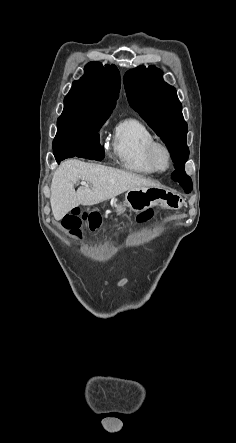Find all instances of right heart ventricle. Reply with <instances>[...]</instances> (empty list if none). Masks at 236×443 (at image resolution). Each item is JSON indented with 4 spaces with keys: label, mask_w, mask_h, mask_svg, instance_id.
Here are the masks:
<instances>
[{
    "label": "right heart ventricle",
    "mask_w": 236,
    "mask_h": 443,
    "mask_svg": "<svg viewBox=\"0 0 236 443\" xmlns=\"http://www.w3.org/2000/svg\"><path fill=\"white\" fill-rule=\"evenodd\" d=\"M155 140L146 125L134 118L121 121L115 129L113 153L117 164L130 172L155 173L147 160V147Z\"/></svg>",
    "instance_id": "right-heart-ventricle-1"
}]
</instances>
